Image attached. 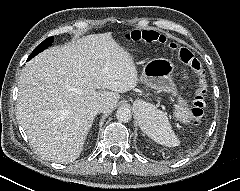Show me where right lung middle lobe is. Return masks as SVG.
Wrapping results in <instances>:
<instances>
[{
  "label": "right lung middle lobe",
  "instance_id": "obj_1",
  "mask_svg": "<svg viewBox=\"0 0 240 191\" xmlns=\"http://www.w3.org/2000/svg\"><path fill=\"white\" fill-rule=\"evenodd\" d=\"M53 42V37H49L47 39H45L40 45H38L34 51L30 54L28 60H30L31 58H33L35 55H37L38 53L42 52L43 50H45L48 46L51 45V43Z\"/></svg>",
  "mask_w": 240,
  "mask_h": 191
}]
</instances>
